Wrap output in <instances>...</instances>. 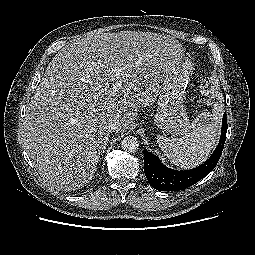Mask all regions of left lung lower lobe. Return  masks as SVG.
<instances>
[{"instance_id": "left-lung-lower-lobe-1", "label": "left lung lower lobe", "mask_w": 255, "mask_h": 255, "mask_svg": "<svg viewBox=\"0 0 255 255\" xmlns=\"http://www.w3.org/2000/svg\"><path fill=\"white\" fill-rule=\"evenodd\" d=\"M227 132V117L223 115L221 137L210 158L202 165L184 171L164 166L156 155L144 150V171L150 185L160 191L186 189L207 176L217 165L223 151Z\"/></svg>"}]
</instances>
